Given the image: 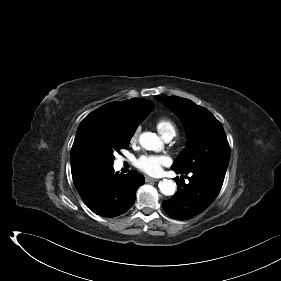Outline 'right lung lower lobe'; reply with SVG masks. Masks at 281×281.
<instances>
[{
  "instance_id": "1",
  "label": "right lung lower lobe",
  "mask_w": 281,
  "mask_h": 281,
  "mask_svg": "<svg viewBox=\"0 0 281 281\" xmlns=\"http://www.w3.org/2000/svg\"><path fill=\"white\" fill-rule=\"evenodd\" d=\"M145 183L135 170L122 175L113 166L86 175L74 182L84 203L97 215L115 217L126 212L135 201L137 188Z\"/></svg>"
}]
</instances>
